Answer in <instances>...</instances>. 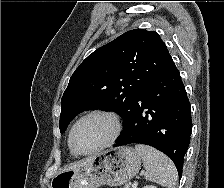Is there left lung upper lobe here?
Masks as SVG:
<instances>
[{"label": "left lung upper lobe", "instance_id": "obj_1", "mask_svg": "<svg viewBox=\"0 0 224 188\" xmlns=\"http://www.w3.org/2000/svg\"><path fill=\"white\" fill-rule=\"evenodd\" d=\"M172 63L155 31L134 29L98 48L75 70L63 94L61 133L80 112L97 108L118 113L125 127L142 88Z\"/></svg>", "mask_w": 224, "mask_h": 188}]
</instances>
